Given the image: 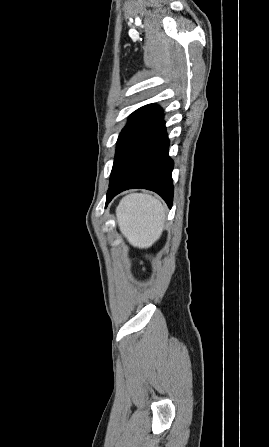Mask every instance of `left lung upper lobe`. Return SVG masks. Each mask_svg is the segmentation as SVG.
<instances>
[{
    "label": "left lung upper lobe",
    "instance_id": "obj_1",
    "mask_svg": "<svg viewBox=\"0 0 269 447\" xmlns=\"http://www.w3.org/2000/svg\"><path fill=\"white\" fill-rule=\"evenodd\" d=\"M163 120L160 107L150 104L136 110L120 133L110 182L135 147Z\"/></svg>",
    "mask_w": 269,
    "mask_h": 447
}]
</instances>
